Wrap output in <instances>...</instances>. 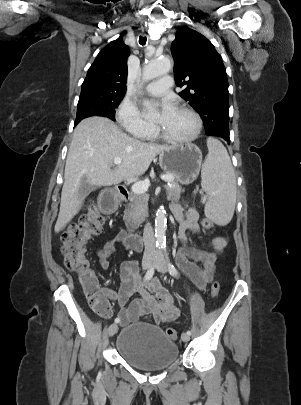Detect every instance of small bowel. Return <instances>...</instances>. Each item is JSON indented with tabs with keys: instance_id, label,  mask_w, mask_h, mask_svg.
Returning <instances> with one entry per match:
<instances>
[{
	"instance_id": "1",
	"label": "small bowel",
	"mask_w": 301,
	"mask_h": 405,
	"mask_svg": "<svg viewBox=\"0 0 301 405\" xmlns=\"http://www.w3.org/2000/svg\"><path fill=\"white\" fill-rule=\"evenodd\" d=\"M171 212L179 222L178 237L183 243L176 254L180 269L201 290L212 282L216 271L217 254L227 245L224 237L212 239V251H202L188 244L187 231L200 233L198 211L189 205L173 203ZM126 232L120 229L115 238L108 240L97 251L99 263L103 269L110 267V256L116 244L124 241ZM121 287L119 290L102 289L106 300L114 301L118 306V318L122 325L137 321L142 316H152L157 323H169L175 320L180 309L173 293L164 288L158 278L150 279L146 284L139 282L138 265L135 261H125L120 266ZM137 297L134 298V296Z\"/></svg>"
}]
</instances>
